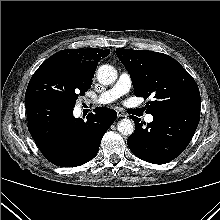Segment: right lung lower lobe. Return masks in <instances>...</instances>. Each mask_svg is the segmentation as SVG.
<instances>
[{
	"label": "right lung lower lobe",
	"mask_w": 220,
	"mask_h": 220,
	"mask_svg": "<svg viewBox=\"0 0 220 220\" xmlns=\"http://www.w3.org/2000/svg\"><path fill=\"white\" fill-rule=\"evenodd\" d=\"M29 131L42 154L62 167L93 159L101 139L117 117L115 110L96 108L87 121L73 116V107L46 97L25 98Z\"/></svg>",
	"instance_id": "obj_1"
}]
</instances>
